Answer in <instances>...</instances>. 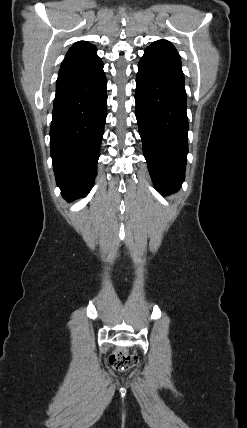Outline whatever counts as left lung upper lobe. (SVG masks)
<instances>
[{"label": "left lung upper lobe", "mask_w": 247, "mask_h": 428, "mask_svg": "<svg viewBox=\"0 0 247 428\" xmlns=\"http://www.w3.org/2000/svg\"><path fill=\"white\" fill-rule=\"evenodd\" d=\"M149 47L163 51V52L172 53V54L179 56L175 47L167 40L156 41V42L152 43Z\"/></svg>", "instance_id": "1"}]
</instances>
